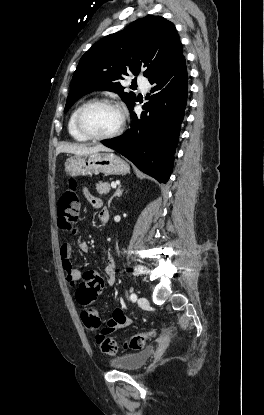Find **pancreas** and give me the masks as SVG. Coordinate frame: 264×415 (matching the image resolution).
<instances>
[{
  "instance_id": "cf45deb5",
  "label": "pancreas",
  "mask_w": 264,
  "mask_h": 415,
  "mask_svg": "<svg viewBox=\"0 0 264 415\" xmlns=\"http://www.w3.org/2000/svg\"><path fill=\"white\" fill-rule=\"evenodd\" d=\"M97 192L100 195H106L110 191V184L108 182H99L96 184Z\"/></svg>"
}]
</instances>
